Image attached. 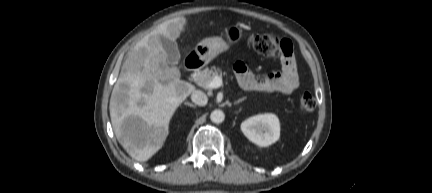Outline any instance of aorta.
I'll return each mask as SVG.
<instances>
[{
	"instance_id": "1",
	"label": "aorta",
	"mask_w": 432,
	"mask_h": 193,
	"mask_svg": "<svg viewBox=\"0 0 432 193\" xmlns=\"http://www.w3.org/2000/svg\"><path fill=\"white\" fill-rule=\"evenodd\" d=\"M210 119L213 123H222L225 119V114L222 110L216 109L213 110L210 114Z\"/></svg>"
}]
</instances>
